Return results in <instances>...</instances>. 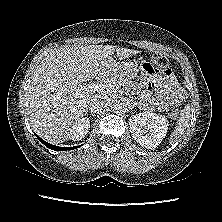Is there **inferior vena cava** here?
<instances>
[{
    "label": "inferior vena cava",
    "mask_w": 222,
    "mask_h": 222,
    "mask_svg": "<svg viewBox=\"0 0 222 222\" xmlns=\"http://www.w3.org/2000/svg\"><path fill=\"white\" fill-rule=\"evenodd\" d=\"M108 105V99L102 94H96L89 102V110L91 112H97Z\"/></svg>",
    "instance_id": "obj_1"
}]
</instances>
